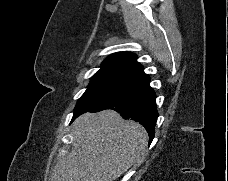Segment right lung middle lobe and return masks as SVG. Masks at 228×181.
I'll use <instances>...</instances> for the list:
<instances>
[{
	"label": "right lung middle lobe",
	"mask_w": 228,
	"mask_h": 181,
	"mask_svg": "<svg viewBox=\"0 0 228 181\" xmlns=\"http://www.w3.org/2000/svg\"><path fill=\"white\" fill-rule=\"evenodd\" d=\"M130 82L118 78L93 77L87 90L77 102L74 117L80 112L93 109L110 101L123 91Z\"/></svg>",
	"instance_id": "obj_1"
}]
</instances>
